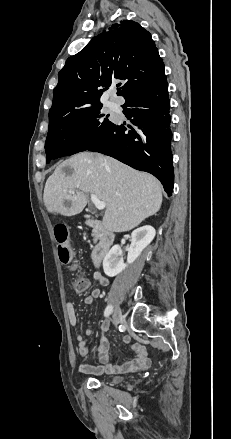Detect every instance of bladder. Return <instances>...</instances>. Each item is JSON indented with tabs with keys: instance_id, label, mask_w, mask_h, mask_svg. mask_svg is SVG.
I'll list each match as a JSON object with an SVG mask.
<instances>
[{
	"instance_id": "31cf9c89",
	"label": "bladder",
	"mask_w": 231,
	"mask_h": 439,
	"mask_svg": "<svg viewBox=\"0 0 231 439\" xmlns=\"http://www.w3.org/2000/svg\"><path fill=\"white\" fill-rule=\"evenodd\" d=\"M122 380H123V378L121 376H117V375L109 376V377L106 378V381L111 383V384H118Z\"/></svg>"
}]
</instances>
